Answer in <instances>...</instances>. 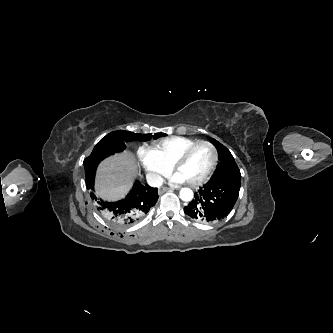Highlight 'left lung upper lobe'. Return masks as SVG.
<instances>
[{
	"mask_svg": "<svg viewBox=\"0 0 333 333\" xmlns=\"http://www.w3.org/2000/svg\"><path fill=\"white\" fill-rule=\"evenodd\" d=\"M212 144L217 148L219 164L214 175L220 174L225 170L238 168L230 151L217 140L212 139Z\"/></svg>",
	"mask_w": 333,
	"mask_h": 333,
	"instance_id": "1",
	"label": "left lung upper lobe"
}]
</instances>
